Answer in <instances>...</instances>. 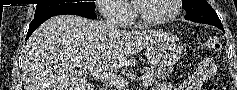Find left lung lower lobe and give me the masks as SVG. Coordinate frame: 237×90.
<instances>
[{
    "label": "left lung lower lobe",
    "instance_id": "obj_1",
    "mask_svg": "<svg viewBox=\"0 0 237 90\" xmlns=\"http://www.w3.org/2000/svg\"><path fill=\"white\" fill-rule=\"evenodd\" d=\"M216 27H218V26H216ZM218 28H220L222 31H224L223 27H218Z\"/></svg>",
    "mask_w": 237,
    "mask_h": 90
}]
</instances>
